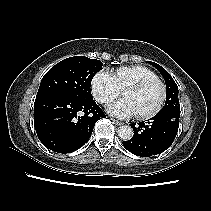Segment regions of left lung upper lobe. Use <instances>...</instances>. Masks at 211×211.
Segmentation results:
<instances>
[{"label":"left lung upper lobe","mask_w":211,"mask_h":211,"mask_svg":"<svg viewBox=\"0 0 211 211\" xmlns=\"http://www.w3.org/2000/svg\"><path fill=\"white\" fill-rule=\"evenodd\" d=\"M151 65H153L163 76L166 88H167V96L166 102L163 108L159 111V113H170L176 116H180V105L178 100V87L170 76V74L160 65L148 61Z\"/></svg>","instance_id":"1"}]
</instances>
